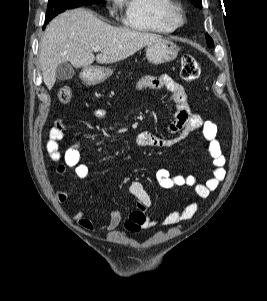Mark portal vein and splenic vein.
Masks as SVG:
<instances>
[{
    "instance_id": "portal-vein-and-splenic-vein-1",
    "label": "portal vein and splenic vein",
    "mask_w": 267,
    "mask_h": 301,
    "mask_svg": "<svg viewBox=\"0 0 267 301\" xmlns=\"http://www.w3.org/2000/svg\"><path fill=\"white\" fill-rule=\"evenodd\" d=\"M94 51H96V52L101 51V47H99V46L95 47Z\"/></svg>"
}]
</instances>
